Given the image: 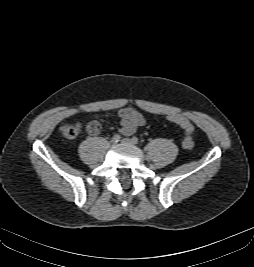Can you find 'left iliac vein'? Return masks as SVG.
<instances>
[{"instance_id":"4c4485c4","label":"left iliac vein","mask_w":254,"mask_h":267,"mask_svg":"<svg viewBox=\"0 0 254 267\" xmlns=\"http://www.w3.org/2000/svg\"><path fill=\"white\" fill-rule=\"evenodd\" d=\"M121 142L124 143V144H134V143L132 142V140H131V139H128V138H124V139H122Z\"/></svg>"}]
</instances>
